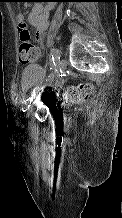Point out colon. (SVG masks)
<instances>
[{
    "mask_svg": "<svg viewBox=\"0 0 122 218\" xmlns=\"http://www.w3.org/2000/svg\"><path fill=\"white\" fill-rule=\"evenodd\" d=\"M20 37L19 59L22 63H28L37 59L38 50L31 41L30 31L27 24L22 21L18 23ZM93 85L81 83L77 86L67 88L63 92V99L69 103L86 101L92 95Z\"/></svg>",
    "mask_w": 122,
    "mask_h": 218,
    "instance_id": "obj_1",
    "label": "colon"
}]
</instances>
